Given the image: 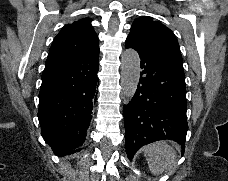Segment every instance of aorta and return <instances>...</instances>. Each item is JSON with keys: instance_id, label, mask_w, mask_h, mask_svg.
I'll return each mask as SVG.
<instances>
[{"instance_id": "1", "label": "aorta", "mask_w": 228, "mask_h": 181, "mask_svg": "<svg viewBox=\"0 0 228 181\" xmlns=\"http://www.w3.org/2000/svg\"><path fill=\"white\" fill-rule=\"evenodd\" d=\"M140 58L133 49H127L121 56V87L126 102L133 98L140 77Z\"/></svg>"}]
</instances>
